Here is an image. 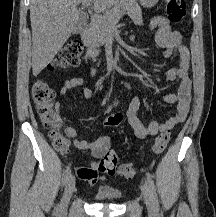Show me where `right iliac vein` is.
<instances>
[{
	"label": "right iliac vein",
	"mask_w": 216,
	"mask_h": 217,
	"mask_svg": "<svg viewBox=\"0 0 216 217\" xmlns=\"http://www.w3.org/2000/svg\"><path fill=\"white\" fill-rule=\"evenodd\" d=\"M74 189H75V178L74 176H70L66 182L64 194H63L61 203L59 205L60 213H65L67 211L69 201H70V198L72 196Z\"/></svg>",
	"instance_id": "obj_1"
}]
</instances>
